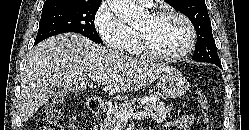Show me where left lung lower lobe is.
I'll list each match as a JSON object with an SVG mask.
<instances>
[{
	"mask_svg": "<svg viewBox=\"0 0 249 130\" xmlns=\"http://www.w3.org/2000/svg\"><path fill=\"white\" fill-rule=\"evenodd\" d=\"M215 65H217L218 67H220L222 69L221 62L220 63H215Z\"/></svg>",
	"mask_w": 249,
	"mask_h": 130,
	"instance_id": "1",
	"label": "left lung lower lobe"
}]
</instances>
